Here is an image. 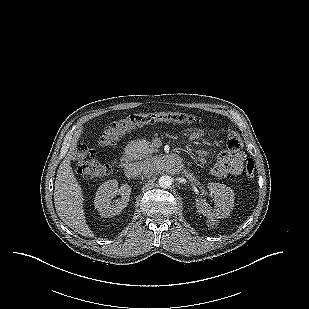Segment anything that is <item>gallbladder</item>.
I'll return each instance as SVG.
<instances>
[{
  "mask_svg": "<svg viewBox=\"0 0 309 309\" xmlns=\"http://www.w3.org/2000/svg\"><path fill=\"white\" fill-rule=\"evenodd\" d=\"M78 156H79V153H78L77 151H72V153H71V158H72L73 160H76V159L78 158Z\"/></svg>",
  "mask_w": 309,
  "mask_h": 309,
  "instance_id": "obj_1",
  "label": "gallbladder"
}]
</instances>
